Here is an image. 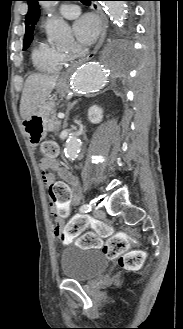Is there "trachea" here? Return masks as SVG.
Returning <instances> with one entry per match:
<instances>
[{
  "mask_svg": "<svg viewBox=\"0 0 183 329\" xmlns=\"http://www.w3.org/2000/svg\"><path fill=\"white\" fill-rule=\"evenodd\" d=\"M79 1H81L85 5H90V3H91V0H79Z\"/></svg>",
  "mask_w": 183,
  "mask_h": 329,
  "instance_id": "obj_1",
  "label": "trachea"
}]
</instances>
